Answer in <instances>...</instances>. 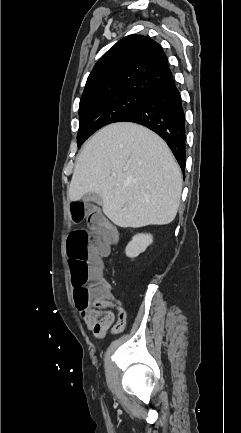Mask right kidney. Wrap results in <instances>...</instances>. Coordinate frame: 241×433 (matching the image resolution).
Returning <instances> with one entry per match:
<instances>
[{"label":"right kidney","mask_w":241,"mask_h":433,"mask_svg":"<svg viewBox=\"0 0 241 433\" xmlns=\"http://www.w3.org/2000/svg\"><path fill=\"white\" fill-rule=\"evenodd\" d=\"M152 242L153 236L151 234L135 235L125 249L126 256L129 258L137 257L139 254L144 252Z\"/></svg>","instance_id":"obj_1"}]
</instances>
